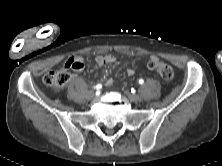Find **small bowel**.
<instances>
[{
  "label": "small bowel",
  "instance_id": "c3829d8e",
  "mask_svg": "<svg viewBox=\"0 0 222 166\" xmlns=\"http://www.w3.org/2000/svg\"><path fill=\"white\" fill-rule=\"evenodd\" d=\"M95 61L99 67L107 66L116 61L115 56L111 54H105V55H98L95 58ZM65 67L72 69L76 72H81L84 69V60L81 56L79 55H74L71 56L66 62H65ZM135 73V70L130 68L126 71V74L128 76H132ZM113 83L112 79H107L105 84L107 86H110Z\"/></svg>",
  "mask_w": 222,
  "mask_h": 166
}]
</instances>
